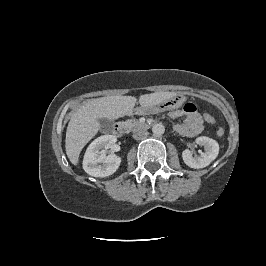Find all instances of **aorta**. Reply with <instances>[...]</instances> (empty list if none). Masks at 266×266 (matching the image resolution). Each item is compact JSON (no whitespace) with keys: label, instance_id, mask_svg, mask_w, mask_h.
<instances>
[{"label":"aorta","instance_id":"obj_1","mask_svg":"<svg viewBox=\"0 0 266 266\" xmlns=\"http://www.w3.org/2000/svg\"><path fill=\"white\" fill-rule=\"evenodd\" d=\"M152 132L155 136H161L165 132V127L162 123H157L153 125Z\"/></svg>","mask_w":266,"mask_h":266}]
</instances>
